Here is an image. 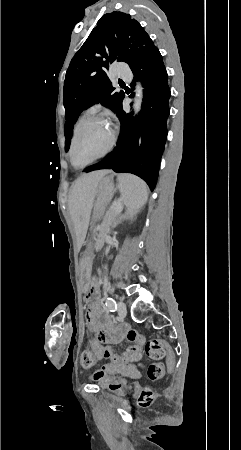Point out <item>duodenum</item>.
I'll return each mask as SVG.
<instances>
[{
	"label": "duodenum",
	"instance_id": "duodenum-1",
	"mask_svg": "<svg viewBox=\"0 0 241 450\" xmlns=\"http://www.w3.org/2000/svg\"><path fill=\"white\" fill-rule=\"evenodd\" d=\"M92 289H93V291H96V285L95 284H92Z\"/></svg>",
	"mask_w": 241,
	"mask_h": 450
}]
</instances>
